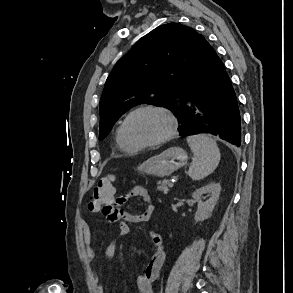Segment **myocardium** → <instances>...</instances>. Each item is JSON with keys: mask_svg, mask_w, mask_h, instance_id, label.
<instances>
[{"mask_svg": "<svg viewBox=\"0 0 293 293\" xmlns=\"http://www.w3.org/2000/svg\"><path fill=\"white\" fill-rule=\"evenodd\" d=\"M142 111H153L161 114L168 122V129L166 133L160 137L159 139L152 141V142H147V143H133L129 140L128 135H127V124L129 120L137 113L142 112ZM177 131V121L173 114L167 110L166 108H163L161 106L157 105H152V104H147V105H141L132 111H130L125 118L123 119L121 123V136L122 140L125 143V145L131 149L134 150H141V149H147V148H152V147H157L160 146L166 142H168L176 133Z\"/></svg>", "mask_w": 293, "mask_h": 293, "instance_id": "myocardium-1", "label": "myocardium"}]
</instances>
